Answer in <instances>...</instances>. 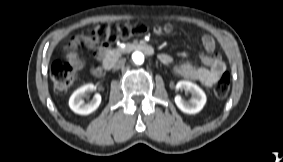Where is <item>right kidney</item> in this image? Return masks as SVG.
I'll use <instances>...</instances> for the list:
<instances>
[{
  "mask_svg": "<svg viewBox=\"0 0 283 162\" xmlns=\"http://www.w3.org/2000/svg\"><path fill=\"white\" fill-rule=\"evenodd\" d=\"M93 90H95V86L90 83L74 91L69 99V107L71 110L80 115H88L94 112L101 103L100 94H95L93 99L88 103H85L83 100V97Z\"/></svg>",
  "mask_w": 283,
  "mask_h": 162,
  "instance_id": "ca27d5eb",
  "label": "right kidney"
}]
</instances>
